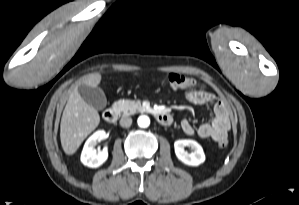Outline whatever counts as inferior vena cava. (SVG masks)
Wrapping results in <instances>:
<instances>
[{
  "instance_id": "obj_1",
  "label": "inferior vena cava",
  "mask_w": 299,
  "mask_h": 205,
  "mask_svg": "<svg viewBox=\"0 0 299 205\" xmlns=\"http://www.w3.org/2000/svg\"><path fill=\"white\" fill-rule=\"evenodd\" d=\"M131 124H132V118L130 117L124 116L120 119V125L122 127L128 128L131 126Z\"/></svg>"
}]
</instances>
